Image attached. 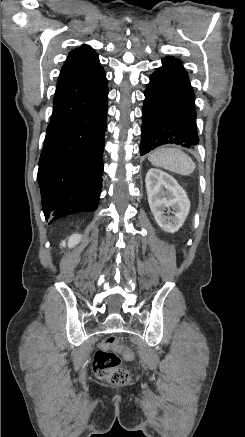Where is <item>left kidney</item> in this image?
I'll return each instance as SVG.
<instances>
[{
  "mask_svg": "<svg viewBox=\"0 0 245 437\" xmlns=\"http://www.w3.org/2000/svg\"><path fill=\"white\" fill-rule=\"evenodd\" d=\"M145 183L148 203L157 224L166 232H177L190 211L186 191L171 175L154 168L148 170Z\"/></svg>",
  "mask_w": 245,
  "mask_h": 437,
  "instance_id": "5707ae66",
  "label": "left kidney"
}]
</instances>
